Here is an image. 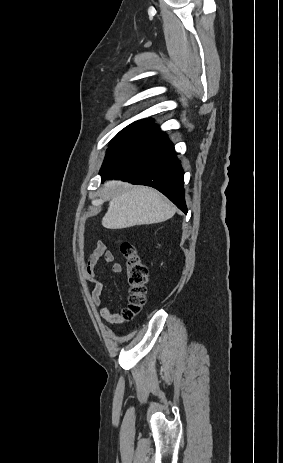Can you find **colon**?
<instances>
[{
  "instance_id": "obj_1",
  "label": "colon",
  "mask_w": 283,
  "mask_h": 463,
  "mask_svg": "<svg viewBox=\"0 0 283 463\" xmlns=\"http://www.w3.org/2000/svg\"><path fill=\"white\" fill-rule=\"evenodd\" d=\"M119 246L125 260L128 286V305L121 311L119 320L128 321L140 312L146 302L149 274L133 244L123 240Z\"/></svg>"
}]
</instances>
